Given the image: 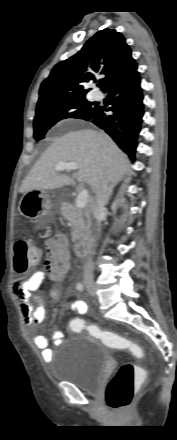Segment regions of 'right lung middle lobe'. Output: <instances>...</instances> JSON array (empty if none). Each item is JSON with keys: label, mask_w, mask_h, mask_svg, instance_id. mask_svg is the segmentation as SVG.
Listing matches in <instances>:
<instances>
[{"label": "right lung middle lobe", "mask_w": 177, "mask_h": 440, "mask_svg": "<svg viewBox=\"0 0 177 440\" xmlns=\"http://www.w3.org/2000/svg\"><path fill=\"white\" fill-rule=\"evenodd\" d=\"M95 107L93 103L86 100L85 95L66 97L38 106L33 122L34 138L36 140L43 139L47 130L63 118L83 119ZM69 110L73 111L69 112Z\"/></svg>", "instance_id": "dd1d6c3e"}]
</instances>
